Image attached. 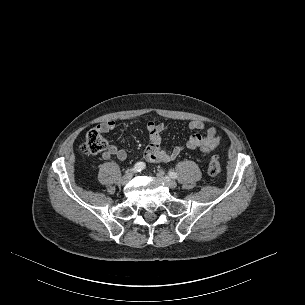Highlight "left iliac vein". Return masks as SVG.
<instances>
[{"instance_id":"obj_1","label":"left iliac vein","mask_w":305,"mask_h":305,"mask_svg":"<svg viewBox=\"0 0 305 305\" xmlns=\"http://www.w3.org/2000/svg\"><path fill=\"white\" fill-rule=\"evenodd\" d=\"M156 176H157V178H158L162 183H164L168 188H170V189H175V188L177 187V183H176L174 180L165 177V176L163 175L162 172H158V173L156 174Z\"/></svg>"}]
</instances>
